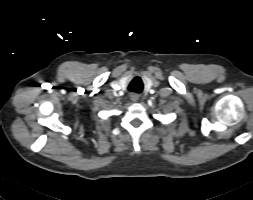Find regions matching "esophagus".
<instances>
[{
    "mask_svg": "<svg viewBox=\"0 0 253 200\" xmlns=\"http://www.w3.org/2000/svg\"><path fill=\"white\" fill-rule=\"evenodd\" d=\"M138 98H139V96L136 95V94H132V95H131V100L134 101V102L137 101Z\"/></svg>",
    "mask_w": 253,
    "mask_h": 200,
    "instance_id": "esophagus-1",
    "label": "esophagus"
}]
</instances>
